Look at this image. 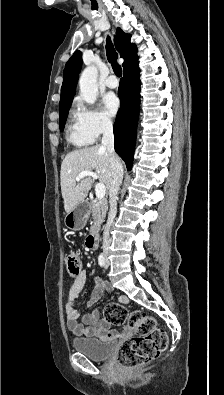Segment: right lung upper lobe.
Listing matches in <instances>:
<instances>
[{
	"instance_id": "obj_1",
	"label": "right lung upper lobe",
	"mask_w": 224,
	"mask_h": 395,
	"mask_svg": "<svg viewBox=\"0 0 224 395\" xmlns=\"http://www.w3.org/2000/svg\"><path fill=\"white\" fill-rule=\"evenodd\" d=\"M130 38L129 34H125L120 28L117 29L115 45L120 56L124 58V68L137 59L136 45L131 44ZM81 66L82 54L80 51H76L65 65L59 110L71 105Z\"/></svg>"
}]
</instances>
